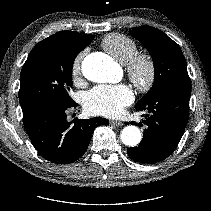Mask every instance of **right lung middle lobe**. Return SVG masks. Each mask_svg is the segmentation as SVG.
Instances as JSON below:
<instances>
[{"instance_id": "right-lung-middle-lobe-1", "label": "right lung middle lobe", "mask_w": 211, "mask_h": 211, "mask_svg": "<svg viewBox=\"0 0 211 211\" xmlns=\"http://www.w3.org/2000/svg\"><path fill=\"white\" fill-rule=\"evenodd\" d=\"M93 39L56 46L45 39L30 52L20 74L19 101L23 112L44 104L71 105L72 67L76 56Z\"/></svg>"}]
</instances>
